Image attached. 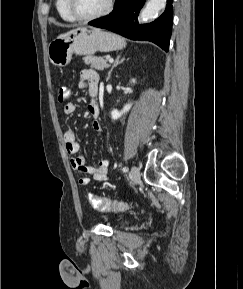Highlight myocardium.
<instances>
[{
	"mask_svg": "<svg viewBox=\"0 0 243 289\" xmlns=\"http://www.w3.org/2000/svg\"><path fill=\"white\" fill-rule=\"evenodd\" d=\"M74 2H75L74 0H67V7H68V10H69V13L76 20H79V21H93V20L105 17L112 11L113 6H114V0H108L107 4H106V7L102 11H100L99 13L91 15V16H83V15H80L76 11Z\"/></svg>",
	"mask_w": 243,
	"mask_h": 289,
	"instance_id": "myocardium-1",
	"label": "myocardium"
}]
</instances>
